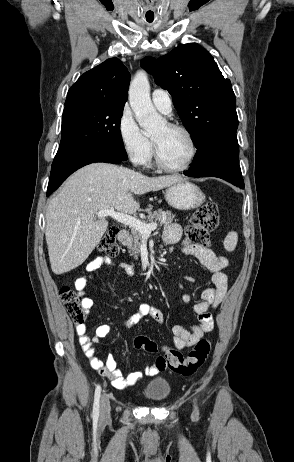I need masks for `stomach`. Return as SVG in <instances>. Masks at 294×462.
<instances>
[{
    "instance_id": "1",
    "label": "stomach",
    "mask_w": 294,
    "mask_h": 462,
    "mask_svg": "<svg viewBox=\"0 0 294 462\" xmlns=\"http://www.w3.org/2000/svg\"><path fill=\"white\" fill-rule=\"evenodd\" d=\"M165 199L176 209L190 210L202 205L205 195L198 186L183 179L165 190Z\"/></svg>"
}]
</instances>
